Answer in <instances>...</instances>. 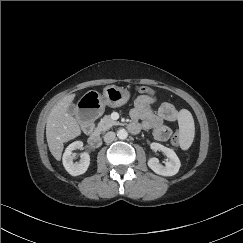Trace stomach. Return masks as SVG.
<instances>
[{"instance_id": "stomach-1", "label": "stomach", "mask_w": 243, "mask_h": 243, "mask_svg": "<svg viewBox=\"0 0 243 243\" xmlns=\"http://www.w3.org/2000/svg\"><path fill=\"white\" fill-rule=\"evenodd\" d=\"M130 93L128 90L115 85L106 86L101 95L97 91H88L79 100L80 105H84V108H91L95 111L96 116L101 115L105 106L112 108L120 107L128 102Z\"/></svg>"}]
</instances>
